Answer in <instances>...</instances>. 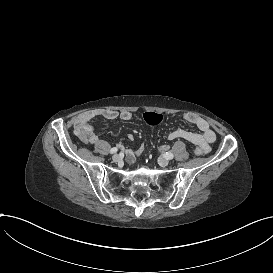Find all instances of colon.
Instances as JSON below:
<instances>
[{"label":"colon","mask_w":273,"mask_h":273,"mask_svg":"<svg viewBox=\"0 0 273 273\" xmlns=\"http://www.w3.org/2000/svg\"><path fill=\"white\" fill-rule=\"evenodd\" d=\"M96 121V118L92 114H82L79 117L75 118L73 121V126L76 133L79 135L82 142L87 143L90 141L91 136L84 125H92ZM146 121L151 125H159L164 121V117L160 113H154L153 115L147 114ZM146 151V141L141 139L139 141V146L136 150L137 156H142L143 153Z\"/></svg>","instance_id":"5ec220e1"}]
</instances>
